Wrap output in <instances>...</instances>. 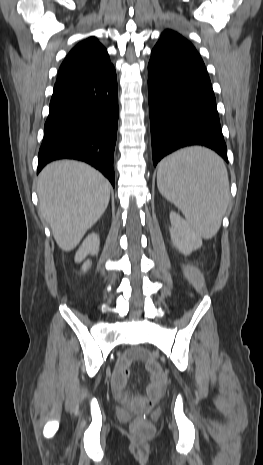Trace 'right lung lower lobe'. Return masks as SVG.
<instances>
[{
  "mask_svg": "<svg viewBox=\"0 0 263 465\" xmlns=\"http://www.w3.org/2000/svg\"><path fill=\"white\" fill-rule=\"evenodd\" d=\"M117 125V77L113 66L99 74L56 82L37 173L50 161L76 159L100 170L114 186Z\"/></svg>",
  "mask_w": 263,
  "mask_h": 465,
  "instance_id": "98d812e1",
  "label": "right lung lower lobe"
}]
</instances>
